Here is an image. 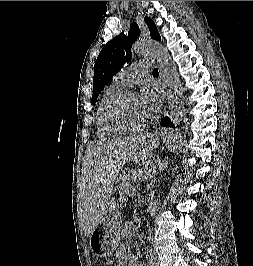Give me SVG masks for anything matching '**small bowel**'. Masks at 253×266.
<instances>
[{"label":"small bowel","mask_w":253,"mask_h":266,"mask_svg":"<svg viewBox=\"0 0 253 266\" xmlns=\"http://www.w3.org/2000/svg\"><path fill=\"white\" fill-rule=\"evenodd\" d=\"M120 255H122L120 253ZM118 266H142L138 258L133 254H125L121 257Z\"/></svg>","instance_id":"small-bowel-1"}]
</instances>
